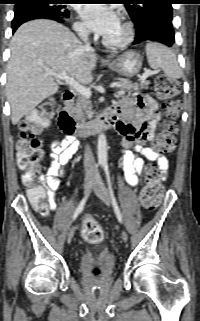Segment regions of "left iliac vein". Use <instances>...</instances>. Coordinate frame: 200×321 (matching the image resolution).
Returning a JSON list of instances; mask_svg holds the SVG:
<instances>
[{
    "mask_svg": "<svg viewBox=\"0 0 200 321\" xmlns=\"http://www.w3.org/2000/svg\"><path fill=\"white\" fill-rule=\"evenodd\" d=\"M94 191L96 195L107 205L111 206L112 205V200L110 197V194L100 176L99 173H96L95 175V183H94ZM122 240L126 242L128 240V235L125 231L122 232Z\"/></svg>",
    "mask_w": 200,
    "mask_h": 321,
    "instance_id": "4c4485c4",
    "label": "left iliac vein"
}]
</instances>
